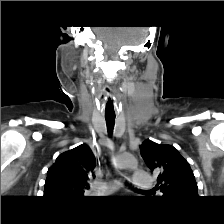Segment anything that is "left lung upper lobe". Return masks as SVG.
Segmentation results:
<instances>
[{
  "label": "left lung upper lobe",
  "mask_w": 224,
  "mask_h": 224,
  "mask_svg": "<svg viewBox=\"0 0 224 224\" xmlns=\"http://www.w3.org/2000/svg\"><path fill=\"white\" fill-rule=\"evenodd\" d=\"M141 156L152 171L159 172L158 183L165 198L198 197V187L189 163L171 145L146 140L140 146Z\"/></svg>",
  "instance_id": "1"
}]
</instances>
